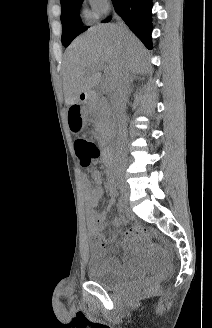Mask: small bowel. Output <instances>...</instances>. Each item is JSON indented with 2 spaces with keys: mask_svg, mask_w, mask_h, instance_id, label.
<instances>
[{
  "mask_svg": "<svg viewBox=\"0 0 212 328\" xmlns=\"http://www.w3.org/2000/svg\"><path fill=\"white\" fill-rule=\"evenodd\" d=\"M92 181L85 174L82 175V189L85 199V214L88 226V232L91 238V246L96 255L103 253L105 245H113V240L105 241L102 231L105 227L107 211L98 213L96 207L102 195V174L95 170L91 173ZM114 194L113 191H111ZM114 203L111 201L110 207ZM115 225L119 224V220H115ZM124 259L128 260L135 252L149 253L153 251V247L148 243V235L145 230L135 225L125 232L124 236ZM108 267L115 271L124 268V263L116 257H110L106 260Z\"/></svg>",
  "mask_w": 212,
  "mask_h": 328,
  "instance_id": "obj_1",
  "label": "small bowel"
}]
</instances>
